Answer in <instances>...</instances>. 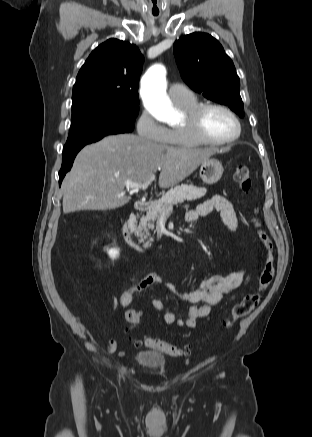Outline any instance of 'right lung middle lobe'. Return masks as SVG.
<instances>
[{
	"instance_id": "obj_1",
	"label": "right lung middle lobe",
	"mask_w": 312,
	"mask_h": 437,
	"mask_svg": "<svg viewBox=\"0 0 312 437\" xmlns=\"http://www.w3.org/2000/svg\"><path fill=\"white\" fill-rule=\"evenodd\" d=\"M138 110V103H89L72 107V123L63 153L79 150L106 135L131 132Z\"/></svg>"
}]
</instances>
